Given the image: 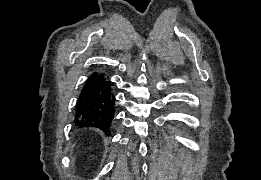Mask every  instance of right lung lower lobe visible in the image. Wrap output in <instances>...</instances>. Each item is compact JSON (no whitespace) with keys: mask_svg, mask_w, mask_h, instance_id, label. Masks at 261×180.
<instances>
[{"mask_svg":"<svg viewBox=\"0 0 261 180\" xmlns=\"http://www.w3.org/2000/svg\"><path fill=\"white\" fill-rule=\"evenodd\" d=\"M115 96L111 82L103 74L93 73L84 84L75 109V123L95 127L109 134L114 118Z\"/></svg>","mask_w":261,"mask_h":180,"instance_id":"98d812e1","label":"right lung lower lobe"}]
</instances>
